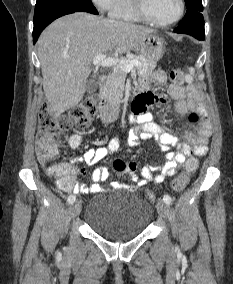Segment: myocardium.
Instances as JSON below:
<instances>
[{"label":"myocardium","mask_w":233,"mask_h":284,"mask_svg":"<svg viewBox=\"0 0 233 284\" xmlns=\"http://www.w3.org/2000/svg\"><path fill=\"white\" fill-rule=\"evenodd\" d=\"M178 2H179L178 14L172 20L166 21V22L158 21L151 16V14L149 13L147 6H146V0H134V5H135V9H136L137 13L141 16V18L144 21L149 22V23H151L155 26L167 27V26H171V25L177 23L182 18L183 14H184V11H185L184 0H178Z\"/></svg>","instance_id":"obj_1"}]
</instances>
